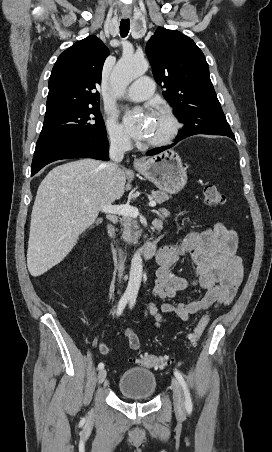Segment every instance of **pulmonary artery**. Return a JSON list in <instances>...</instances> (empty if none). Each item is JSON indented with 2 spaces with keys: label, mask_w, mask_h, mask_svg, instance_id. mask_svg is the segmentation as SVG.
Returning a JSON list of instances; mask_svg holds the SVG:
<instances>
[{
  "label": "pulmonary artery",
  "mask_w": 272,
  "mask_h": 452,
  "mask_svg": "<svg viewBox=\"0 0 272 452\" xmlns=\"http://www.w3.org/2000/svg\"><path fill=\"white\" fill-rule=\"evenodd\" d=\"M153 91V81L149 77H141L130 85L127 98L131 101L141 102L150 98Z\"/></svg>",
  "instance_id": "obj_1"
}]
</instances>
